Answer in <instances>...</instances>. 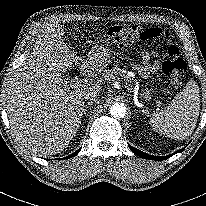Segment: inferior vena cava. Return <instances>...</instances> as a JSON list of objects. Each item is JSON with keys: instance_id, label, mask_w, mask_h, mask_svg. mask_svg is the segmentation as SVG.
I'll list each match as a JSON object with an SVG mask.
<instances>
[{"instance_id": "602c4592", "label": "inferior vena cava", "mask_w": 206, "mask_h": 206, "mask_svg": "<svg viewBox=\"0 0 206 206\" xmlns=\"http://www.w3.org/2000/svg\"><path fill=\"white\" fill-rule=\"evenodd\" d=\"M84 99H88L91 102H97V103L100 102V99L94 93H85Z\"/></svg>"}]
</instances>
